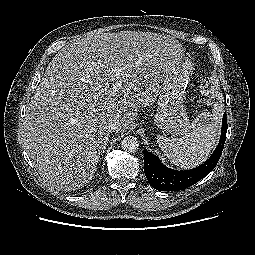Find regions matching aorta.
<instances>
[{
    "label": "aorta",
    "mask_w": 255,
    "mask_h": 255,
    "mask_svg": "<svg viewBox=\"0 0 255 255\" xmlns=\"http://www.w3.org/2000/svg\"><path fill=\"white\" fill-rule=\"evenodd\" d=\"M121 147L124 151L134 153L138 150L139 142L134 136H127L122 140Z\"/></svg>",
    "instance_id": "762f6f07"
}]
</instances>
